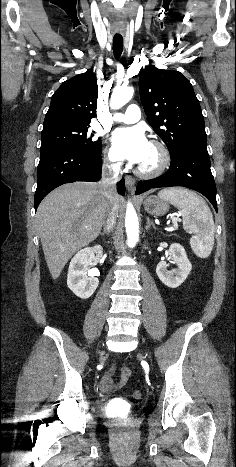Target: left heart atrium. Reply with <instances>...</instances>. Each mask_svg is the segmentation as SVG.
Wrapping results in <instances>:
<instances>
[{"label":"left heart atrium","mask_w":236,"mask_h":467,"mask_svg":"<svg viewBox=\"0 0 236 467\" xmlns=\"http://www.w3.org/2000/svg\"><path fill=\"white\" fill-rule=\"evenodd\" d=\"M114 151L119 159L140 164L147 155L150 143L140 127H122L112 134Z\"/></svg>","instance_id":"left-heart-atrium-1"}]
</instances>
